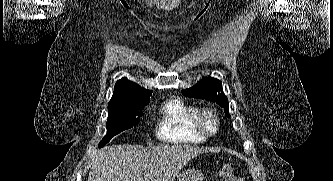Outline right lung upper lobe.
Segmentation results:
<instances>
[{
	"label": "right lung upper lobe",
	"mask_w": 333,
	"mask_h": 181,
	"mask_svg": "<svg viewBox=\"0 0 333 181\" xmlns=\"http://www.w3.org/2000/svg\"><path fill=\"white\" fill-rule=\"evenodd\" d=\"M151 94V90L144 89L127 78H122L115 84L112 98L108 103V111L147 105Z\"/></svg>",
	"instance_id": "cb5924a9"
}]
</instances>
